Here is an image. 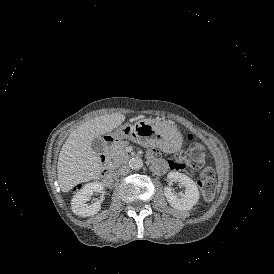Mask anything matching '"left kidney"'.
I'll return each instance as SVG.
<instances>
[{
    "instance_id": "5707ae66",
    "label": "left kidney",
    "mask_w": 274,
    "mask_h": 274,
    "mask_svg": "<svg viewBox=\"0 0 274 274\" xmlns=\"http://www.w3.org/2000/svg\"><path fill=\"white\" fill-rule=\"evenodd\" d=\"M167 180L172 182H180L186 187L184 193L176 194L172 190V186L164 188V195L173 208L177 210H190L199 200V190L195 182L186 174L172 171L167 174Z\"/></svg>"
}]
</instances>
